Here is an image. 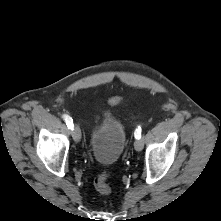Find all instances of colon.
I'll return each mask as SVG.
<instances>
[{"label":"colon","mask_w":221,"mask_h":221,"mask_svg":"<svg viewBox=\"0 0 221 221\" xmlns=\"http://www.w3.org/2000/svg\"><path fill=\"white\" fill-rule=\"evenodd\" d=\"M94 187L101 195H108L111 193V186L109 183V174L102 172L94 179Z\"/></svg>","instance_id":"obj_1"}]
</instances>
